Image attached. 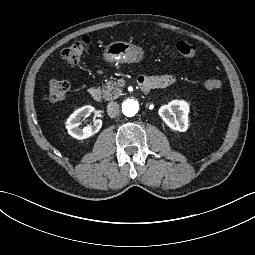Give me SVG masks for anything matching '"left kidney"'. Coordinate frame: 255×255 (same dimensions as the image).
Wrapping results in <instances>:
<instances>
[{
    "mask_svg": "<svg viewBox=\"0 0 255 255\" xmlns=\"http://www.w3.org/2000/svg\"><path fill=\"white\" fill-rule=\"evenodd\" d=\"M188 109L187 103L172 101L159 109V115L171 129L185 132L188 127Z\"/></svg>",
    "mask_w": 255,
    "mask_h": 255,
    "instance_id": "1",
    "label": "left kidney"
}]
</instances>
